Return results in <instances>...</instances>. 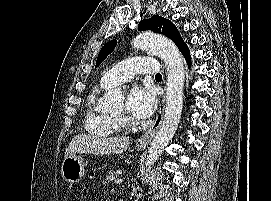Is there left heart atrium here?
Here are the masks:
<instances>
[{"mask_svg":"<svg viewBox=\"0 0 271 201\" xmlns=\"http://www.w3.org/2000/svg\"><path fill=\"white\" fill-rule=\"evenodd\" d=\"M156 105L155 92L152 87L134 85L128 93L125 108L133 117L144 119L153 114Z\"/></svg>","mask_w":271,"mask_h":201,"instance_id":"obj_1","label":"left heart atrium"}]
</instances>
